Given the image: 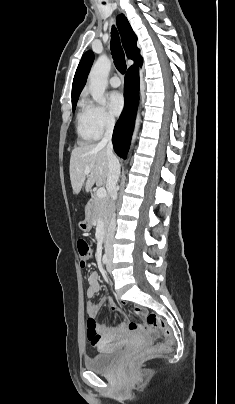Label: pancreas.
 Instances as JSON below:
<instances>
[{"instance_id":"pancreas-1","label":"pancreas","mask_w":235,"mask_h":404,"mask_svg":"<svg viewBox=\"0 0 235 404\" xmlns=\"http://www.w3.org/2000/svg\"><path fill=\"white\" fill-rule=\"evenodd\" d=\"M110 214V203L108 198H98L96 195L93 197L91 206V219L93 222L99 219L105 223Z\"/></svg>"}]
</instances>
